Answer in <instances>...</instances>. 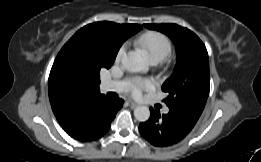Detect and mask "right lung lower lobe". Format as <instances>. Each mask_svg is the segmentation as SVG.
Wrapping results in <instances>:
<instances>
[{"label":"right lung lower lobe","instance_id":"98d812e1","mask_svg":"<svg viewBox=\"0 0 261 162\" xmlns=\"http://www.w3.org/2000/svg\"><path fill=\"white\" fill-rule=\"evenodd\" d=\"M123 102L122 99L113 101L102 96L60 124L76 140L83 142L96 140L109 130L110 124L117 111L122 108Z\"/></svg>","mask_w":261,"mask_h":162}]
</instances>
